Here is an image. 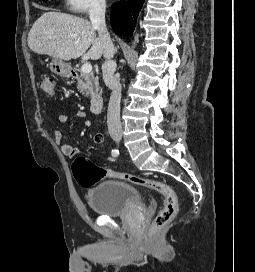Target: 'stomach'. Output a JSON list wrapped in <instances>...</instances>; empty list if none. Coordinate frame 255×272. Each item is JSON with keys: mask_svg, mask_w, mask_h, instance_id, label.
I'll list each match as a JSON object with an SVG mask.
<instances>
[{"mask_svg": "<svg viewBox=\"0 0 255 272\" xmlns=\"http://www.w3.org/2000/svg\"><path fill=\"white\" fill-rule=\"evenodd\" d=\"M50 70L54 74L62 77H70L72 75V68L70 65L61 59L53 58L50 64Z\"/></svg>", "mask_w": 255, "mask_h": 272, "instance_id": "0dacf381", "label": "stomach"}]
</instances>
